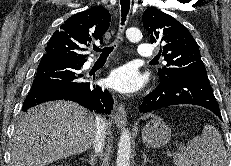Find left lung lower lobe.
<instances>
[{"mask_svg": "<svg viewBox=\"0 0 231 166\" xmlns=\"http://www.w3.org/2000/svg\"><path fill=\"white\" fill-rule=\"evenodd\" d=\"M177 104L205 107L221 119L208 77L194 75H170L161 79L158 86L145 97L139 111L144 114Z\"/></svg>", "mask_w": 231, "mask_h": 166, "instance_id": "left-lung-lower-lobe-1", "label": "left lung lower lobe"}]
</instances>
